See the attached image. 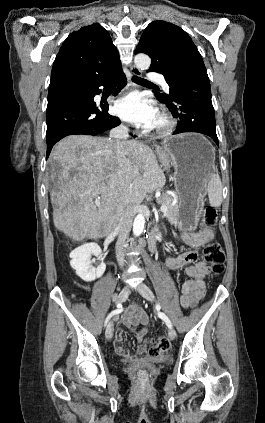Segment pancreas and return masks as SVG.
I'll use <instances>...</instances> for the list:
<instances>
[{
	"mask_svg": "<svg viewBox=\"0 0 265 423\" xmlns=\"http://www.w3.org/2000/svg\"><path fill=\"white\" fill-rule=\"evenodd\" d=\"M175 199H177V196L173 197L167 194H162V196L159 198V203L161 205L167 206V212L165 216L171 224H175L177 222L178 204L174 203Z\"/></svg>",
	"mask_w": 265,
	"mask_h": 423,
	"instance_id": "obj_1",
	"label": "pancreas"
}]
</instances>
